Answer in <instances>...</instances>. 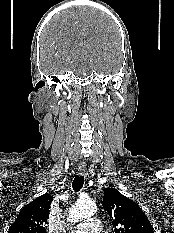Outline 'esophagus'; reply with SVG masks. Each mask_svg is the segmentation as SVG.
I'll return each instance as SVG.
<instances>
[{"instance_id":"1","label":"esophagus","mask_w":174,"mask_h":233,"mask_svg":"<svg viewBox=\"0 0 174 233\" xmlns=\"http://www.w3.org/2000/svg\"><path fill=\"white\" fill-rule=\"evenodd\" d=\"M78 174H79L80 176H86V175H87V170H86V168H79V169H78Z\"/></svg>"}]
</instances>
